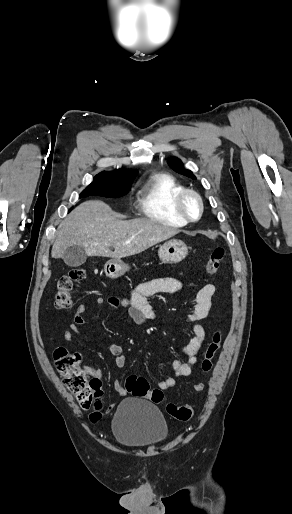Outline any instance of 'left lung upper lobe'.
Masks as SVG:
<instances>
[{
    "instance_id": "1",
    "label": "left lung upper lobe",
    "mask_w": 292,
    "mask_h": 514,
    "mask_svg": "<svg viewBox=\"0 0 292 514\" xmlns=\"http://www.w3.org/2000/svg\"><path fill=\"white\" fill-rule=\"evenodd\" d=\"M169 166L176 172L183 174L187 177H190L192 179H196V177L193 175V173L190 170H186L183 167V163L180 159L177 157H172L168 159Z\"/></svg>"
}]
</instances>
